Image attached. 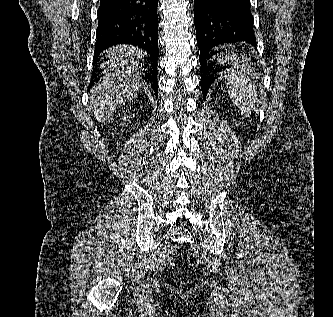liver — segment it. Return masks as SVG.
I'll return each instance as SVG.
<instances>
[{"mask_svg":"<svg viewBox=\"0 0 333 317\" xmlns=\"http://www.w3.org/2000/svg\"><path fill=\"white\" fill-rule=\"evenodd\" d=\"M110 61L101 65L107 68L102 77L90 90L89 104L98 122H104L121 106L137 96L143 85L140 78L145 68L136 61L144 51L131 45H118L107 50Z\"/></svg>","mask_w":333,"mask_h":317,"instance_id":"6515ba94","label":"liver"}]
</instances>
